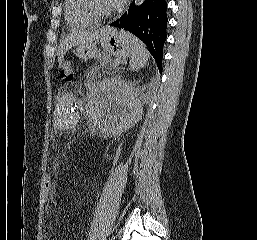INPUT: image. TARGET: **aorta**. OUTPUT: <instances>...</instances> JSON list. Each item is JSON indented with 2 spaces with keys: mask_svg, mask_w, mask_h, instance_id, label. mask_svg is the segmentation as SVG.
I'll return each mask as SVG.
<instances>
[{
  "mask_svg": "<svg viewBox=\"0 0 257 240\" xmlns=\"http://www.w3.org/2000/svg\"><path fill=\"white\" fill-rule=\"evenodd\" d=\"M143 1H144V0H135V4H136V5H140V4L143 3Z\"/></svg>",
  "mask_w": 257,
  "mask_h": 240,
  "instance_id": "1",
  "label": "aorta"
}]
</instances>
